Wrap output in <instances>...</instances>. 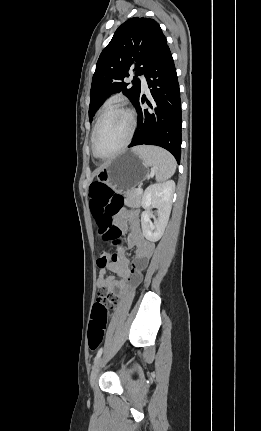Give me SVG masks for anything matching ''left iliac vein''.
<instances>
[{
	"instance_id": "obj_1",
	"label": "left iliac vein",
	"mask_w": 261,
	"mask_h": 431,
	"mask_svg": "<svg viewBox=\"0 0 261 431\" xmlns=\"http://www.w3.org/2000/svg\"><path fill=\"white\" fill-rule=\"evenodd\" d=\"M105 356H100V358L95 362L92 371H91V375H90V385L92 388H94L96 380L98 378L100 369L102 367L103 361H104Z\"/></svg>"
}]
</instances>
